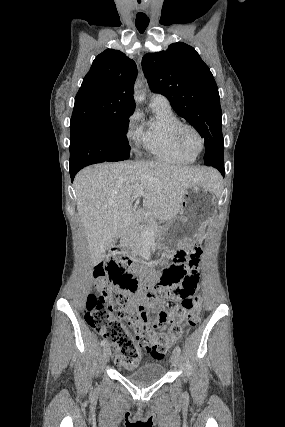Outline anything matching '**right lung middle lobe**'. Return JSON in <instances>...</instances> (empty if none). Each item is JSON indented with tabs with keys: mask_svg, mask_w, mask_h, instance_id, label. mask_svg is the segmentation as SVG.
<instances>
[{
	"mask_svg": "<svg viewBox=\"0 0 285 427\" xmlns=\"http://www.w3.org/2000/svg\"><path fill=\"white\" fill-rule=\"evenodd\" d=\"M130 115H114L71 122L70 170L105 161L126 160L130 146L126 138Z\"/></svg>",
	"mask_w": 285,
	"mask_h": 427,
	"instance_id": "right-lung-middle-lobe-1",
	"label": "right lung middle lobe"
}]
</instances>
